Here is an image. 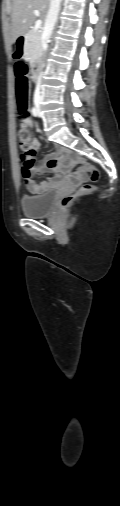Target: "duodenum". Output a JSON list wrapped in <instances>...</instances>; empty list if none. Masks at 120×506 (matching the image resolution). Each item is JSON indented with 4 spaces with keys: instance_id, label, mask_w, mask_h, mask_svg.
I'll return each instance as SVG.
<instances>
[{
    "instance_id": "obj_1",
    "label": "duodenum",
    "mask_w": 120,
    "mask_h": 506,
    "mask_svg": "<svg viewBox=\"0 0 120 506\" xmlns=\"http://www.w3.org/2000/svg\"><path fill=\"white\" fill-rule=\"evenodd\" d=\"M26 41V36L25 35H21L18 37V45L15 46V57L16 58H25L26 57V47L24 46V43ZM39 73H40V66H39V63L38 62H35L33 65H32V69H31V76H32V79L33 81H37L38 78H39Z\"/></svg>"
}]
</instances>
